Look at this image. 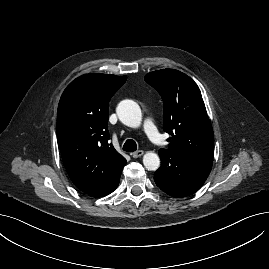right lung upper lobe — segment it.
<instances>
[{
    "mask_svg": "<svg viewBox=\"0 0 269 269\" xmlns=\"http://www.w3.org/2000/svg\"><path fill=\"white\" fill-rule=\"evenodd\" d=\"M126 76L86 74L64 90L58 105L57 141L74 185L85 193L111 181L126 159L108 143V104Z\"/></svg>",
    "mask_w": 269,
    "mask_h": 269,
    "instance_id": "obj_1",
    "label": "right lung upper lobe"
}]
</instances>
